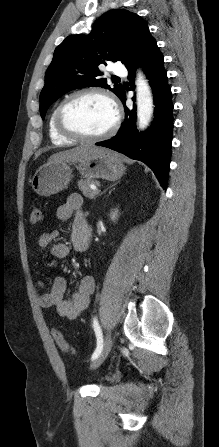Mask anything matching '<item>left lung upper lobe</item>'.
<instances>
[{"mask_svg": "<svg viewBox=\"0 0 219 447\" xmlns=\"http://www.w3.org/2000/svg\"><path fill=\"white\" fill-rule=\"evenodd\" d=\"M150 35L146 21L123 9L110 10L93 25L89 34L68 36L54 51L53 60L45 74L40 93L42 119L50 105L67 92L83 87L99 86L111 90L119 98L122 85L111 88L100 64L121 61L126 64ZM129 41L130 44L126 43Z\"/></svg>", "mask_w": 219, "mask_h": 447, "instance_id": "obj_1", "label": "left lung upper lobe"}]
</instances>
